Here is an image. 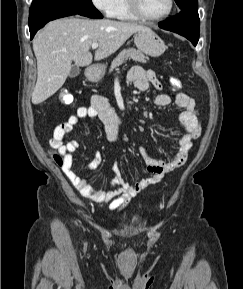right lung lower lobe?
Returning a JSON list of instances; mask_svg holds the SVG:
<instances>
[{"instance_id":"1","label":"right lung lower lobe","mask_w":243,"mask_h":289,"mask_svg":"<svg viewBox=\"0 0 243 289\" xmlns=\"http://www.w3.org/2000/svg\"><path fill=\"white\" fill-rule=\"evenodd\" d=\"M76 14L90 18H102L101 13L93 5L86 6L56 0H33L29 14L31 39L47 22Z\"/></svg>"}]
</instances>
